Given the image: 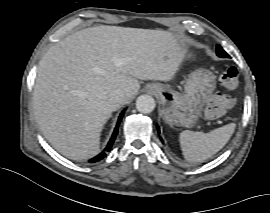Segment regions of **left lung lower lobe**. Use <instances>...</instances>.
I'll list each match as a JSON object with an SVG mask.
<instances>
[{
    "label": "left lung lower lobe",
    "instance_id": "0a47b994",
    "mask_svg": "<svg viewBox=\"0 0 270 213\" xmlns=\"http://www.w3.org/2000/svg\"><path fill=\"white\" fill-rule=\"evenodd\" d=\"M158 133H160V130H159V128H158Z\"/></svg>",
    "mask_w": 270,
    "mask_h": 213
}]
</instances>
